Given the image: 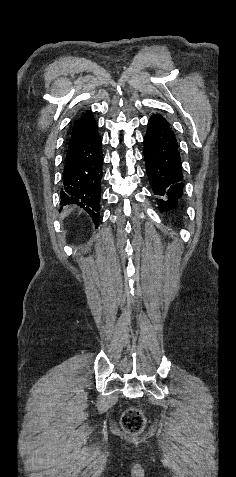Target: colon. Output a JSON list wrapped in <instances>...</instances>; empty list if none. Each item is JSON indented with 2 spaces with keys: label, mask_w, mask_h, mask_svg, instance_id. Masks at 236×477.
Listing matches in <instances>:
<instances>
[{
  "label": "colon",
  "mask_w": 236,
  "mask_h": 477,
  "mask_svg": "<svg viewBox=\"0 0 236 477\" xmlns=\"http://www.w3.org/2000/svg\"><path fill=\"white\" fill-rule=\"evenodd\" d=\"M122 427L129 434H137L145 426V418L136 408L126 410L122 416Z\"/></svg>",
  "instance_id": "colon-1"
}]
</instances>
